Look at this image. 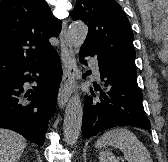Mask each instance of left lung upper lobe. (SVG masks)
I'll list each match as a JSON object with an SVG mask.
<instances>
[{
  "label": "left lung upper lobe",
  "mask_w": 168,
  "mask_h": 162,
  "mask_svg": "<svg viewBox=\"0 0 168 162\" xmlns=\"http://www.w3.org/2000/svg\"><path fill=\"white\" fill-rule=\"evenodd\" d=\"M70 15L89 28L81 49H90L136 73L133 32L126 14L115 0H77Z\"/></svg>",
  "instance_id": "obj_1"
}]
</instances>
